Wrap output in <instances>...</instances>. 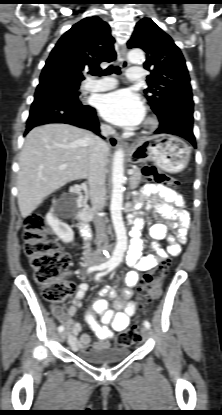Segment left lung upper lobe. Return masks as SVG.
Returning <instances> with one entry per match:
<instances>
[{
  "label": "left lung upper lobe",
  "instance_id": "5c2ea615",
  "mask_svg": "<svg viewBox=\"0 0 222 415\" xmlns=\"http://www.w3.org/2000/svg\"><path fill=\"white\" fill-rule=\"evenodd\" d=\"M127 45L146 52L144 68L150 75L144 92L158 118L182 115L180 95L192 94L191 85L184 57L172 38L151 19L143 18L136 24Z\"/></svg>",
  "mask_w": 222,
  "mask_h": 415
}]
</instances>
